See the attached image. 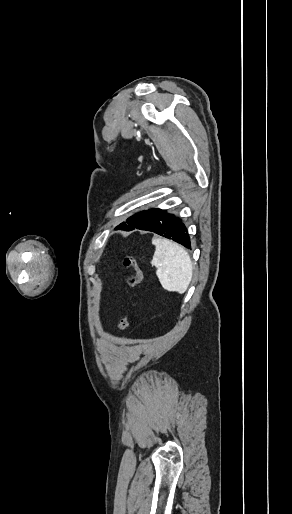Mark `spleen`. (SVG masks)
<instances>
[{"instance_id": "1", "label": "spleen", "mask_w": 292, "mask_h": 514, "mask_svg": "<svg viewBox=\"0 0 292 514\" xmlns=\"http://www.w3.org/2000/svg\"><path fill=\"white\" fill-rule=\"evenodd\" d=\"M152 244L155 246V252L151 264L157 268L156 276L162 288L168 292L184 294L193 276L188 252L170 240L153 238Z\"/></svg>"}]
</instances>
